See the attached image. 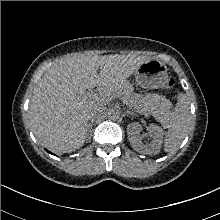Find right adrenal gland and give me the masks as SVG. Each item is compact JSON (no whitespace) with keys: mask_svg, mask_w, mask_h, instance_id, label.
I'll return each mask as SVG.
<instances>
[{"mask_svg":"<svg viewBox=\"0 0 220 220\" xmlns=\"http://www.w3.org/2000/svg\"><path fill=\"white\" fill-rule=\"evenodd\" d=\"M94 122H95V120L92 119L91 122L88 124L87 128H88V132H90V134H91V129H92L93 125H94Z\"/></svg>","mask_w":220,"mask_h":220,"instance_id":"2a0ac1e0","label":"right adrenal gland"}]
</instances>
